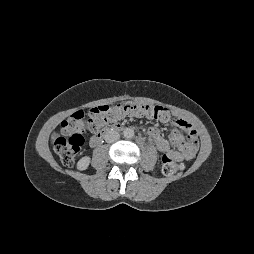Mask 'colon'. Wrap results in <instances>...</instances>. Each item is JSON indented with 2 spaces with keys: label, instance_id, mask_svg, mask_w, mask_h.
Listing matches in <instances>:
<instances>
[{
  "label": "colon",
  "instance_id": "colon-1",
  "mask_svg": "<svg viewBox=\"0 0 254 254\" xmlns=\"http://www.w3.org/2000/svg\"><path fill=\"white\" fill-rule=\"evenodd\" d=\"M164 116V109L153 105H99L88 112V118L82 111L70 115L61 124V135L54 141V149L66 166L73 165L76 156L84 144V133L99 132L114 125L124 117H147L158 119ZM183 165L170 157H163L162 172L166 176L182 170Z\"/></svg>",
  "mask_w": 254,
  "mask_h": 254
}]
</instances>
